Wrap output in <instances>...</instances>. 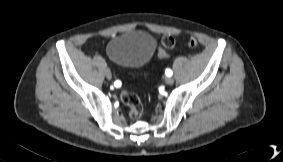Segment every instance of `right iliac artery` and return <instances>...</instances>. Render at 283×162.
I'll list each match as a JSON object with an SVG mask.
<instances>
[{
    "label": "right iliac artery",
    "instance_id": "right-iliac-artery-1",
    "mask_svg": "<svg viewBox=\"0 0 283 162\" xmlns=\"http://www.w3.org/2000/svg\"><path fill=\"white\" fill-rule=\"evenodd\" d=\"M115 85H116V86H119L120 88L123 86L120 81H116V82H115Z\"/></svg>",
    "mask_w": 283,
    "mask_h": 162
}]
</instances>
